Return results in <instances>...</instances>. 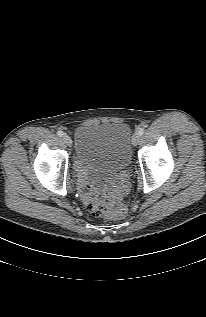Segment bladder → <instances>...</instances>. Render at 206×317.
<instances>
[{
    "label": "bladder",
    "mask_w": 206,
    "mask_h": 317,
    "mask_svg": "<svg viewBox=\"0 0 206 317\" xmlns=\"http://www.w3.org/2000/svg\"><path fill=\"white\" fill-rule=\"evenodd\" d=\"M132 132L125 123L83 124L74 135L75 153L97 177L129 167Z\"/></svg>",
    "instance_id": "obj_1"
}]
</instances>
